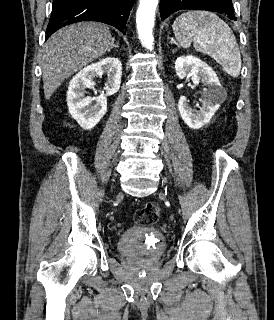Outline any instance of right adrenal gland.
<instances>
[{
    "label": "right adrenal gland",
    "instance_id": "obj_1",
    "mask_svg": "<svg viewBox=\"0 0 274 320\" xmlns=\"http://www.w3.org/2000/svg\"><path fill=\"white\" fill-rule=\"evenodd\" d=\"M112 44H113L112 48H119V46H115V38H114Z\"/></svg>",
    "mask_w": 274,
    "mask_h": 320
}]
</instances>
